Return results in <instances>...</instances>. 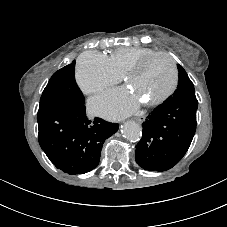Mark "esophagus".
Segmentation results:
<instances>
[{
  "mask_svg": "<svg viewBox=\"0 0 227 227\" xmlns=\"http://www.w3.org/2000/svg\"><path fill=\"white\" fill-rule=\"evenodd\" d=\"M135 120H136L138 123H142L143 121H145V117H144V116H139V117H136Z\"/></svg>",
  "mask_w": 227,
  "mask_h": 227,
  "instance_id": "esophagus-1",
  "label": "esophagus"
}]
</instances>
